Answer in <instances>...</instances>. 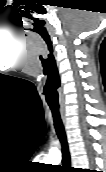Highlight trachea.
Wrapping results in <instances>:
<instances>
[{
	"instance_id": "trachea-1",
	"label": "trachea",
	"mask_w": 106,
	"mask_h": 172,
	"mask_svg": "<svg viewBox=\"0 0 106 172\" xmlns=\"http://www.w3.org/2000/svg\"><path fill=\"white\" fill-rule=\"evenodd\" d=\"M50 109H51V112L53 115L56 133H57L58 138H59L61 145H62V161H63V164L65 166H70L71 161H70L69 148H68L66 133H65V129L63 126L61 116H60L59 108L50 107Z\"/></svg>"
}]
</instances>
